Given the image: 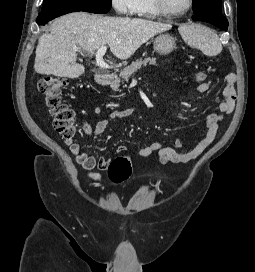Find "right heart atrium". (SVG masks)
<instances>
[{
    "label": "right heart atrium",
    "instance_id": "1",
    "mask_svg": "<svg viewBox=\"0 0 255 272\" xmlns=\"http://www.w3.org/2000/svg\"><path fill=\"white\" fill-rule=\"evenodd\" d=\"M137 0H111V5L120 15H132L136 11Z\"/></svg>",
    "mask_w": 255,
    "mask_h": 272
}]
</instances>
